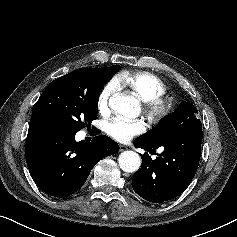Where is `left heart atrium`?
<instances>
[{
    "label": "left heart atrium",
    "instance_id": "obj_1",
    "mask_svg": "<svg viewBox=\"0 0 237 237\" xmlns=\"http://www.w3.org/2000/svg\"><path fill=\"white\" fill-rule=\"evenodd\" d=\"M145 131V125L140 120H126L120 117L111 119L106 125V132L119 142H128L134 136Z\"/></svg>",
    "mask_w": 237,
    "mask_h": 237
}]
</instances>
